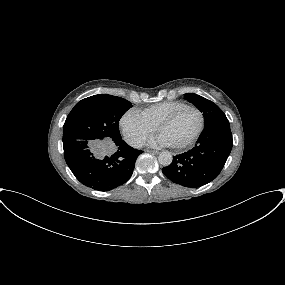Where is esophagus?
Instances as JSON below:
<instances>
[{"label": "esophagus", "mask_w": 285, "mask_h": 285, "mask_svg": "<svg viewBox=\"0 0 285 285\" xmlns=\"http://www.w3.org/2000/svg\"><path fill=\"white\" fill-rule=\"evenodd\" d=\"M147 152L153 153V154H158L159 153V151H156V150H147Z\"/></svg>", "instance_id": "esophagus-1"}]
</instances>
